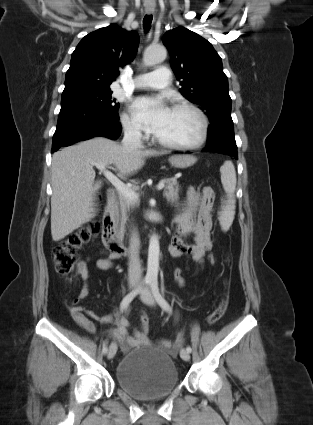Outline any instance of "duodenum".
I'll list each match as a JSON object with an SVG mask.
<instances>
[{
    "mask_svg": "<svg viewBox=\"0 0 313 425\" xmlns=\"http://www.w3.org/2000/svg\"><path fill=\"white\" fill-rule=\"evenodd\" d=\"M115 204L116 193L113 188H109L106 193V204L102 216L101 232L102 240L106 248L117 255H126L130 253L122 242L115 227Z\"/></svg>",
    "mask_w": 313,
    "mask_h": 425,
    "instance_id": "duodenum-1",
    "label": "duodenum"
}]
</instances>
